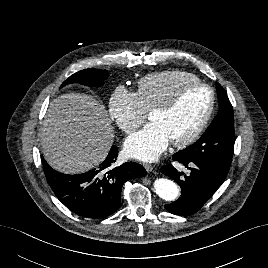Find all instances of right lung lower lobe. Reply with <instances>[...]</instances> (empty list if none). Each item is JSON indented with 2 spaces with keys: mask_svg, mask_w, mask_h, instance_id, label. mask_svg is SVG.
Here are the masks:
<instances>
[{
  "mask_svg": "<svg viewBox=\"0 0 268 268\" xmlns=\"http://www.w3.org/2000/svg\"><path fill=\"white\" fill-rule=\"evenodd\" d=\"M118 147L112 146L96 168L78 175L53 170L41 156L46 179L57 198L72 212L87 218H105L119 209L123 184L147 174L145 168L128 162L113 167Z\"/></svg>",
  "mask_w": 268,
  "mask_h": 268,
  "instance_id": "obj_1",
  "label": "right lung lower lobe"
}]
</instances>
